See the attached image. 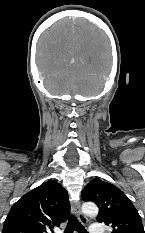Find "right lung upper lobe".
Listing matches in <instances>:
<instances>
[{"label":"right lung upper lobe","mask_w":145,"mask_h":233,"mask_svg":"<svg viewBox=\"0 0 145 233\" xmlns=\"http://www.w3.org/2000/svg\"><path fill=\"white\" fill-rule=\"evenodd\" d=\"M69 210L67 191L49 180L11 207L2 233H53L52 227L66 221Z\"/></svg>","instance_id":"cb5924a9"}]
</instances>
